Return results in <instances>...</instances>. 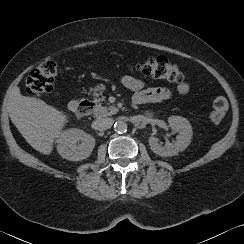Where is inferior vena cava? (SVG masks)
I'll list each match as a JSON object with an SVG mask.
<instances>
[{"mask_svg":"<svg viewBox=\"0 0 244 244\" xmlns=\"http://www.w3.org/2000/svg\"><path fill=\"white\" fill-rule=\"evenodd\" d=\"M113 119L109 117L98 118L94 121L97 130L104 131L112 127Z\"/></svg>","mask_w":244,"mask_h":244,"instance_id":"obj_1","label":"inferior vena cava"}]
</instances>
